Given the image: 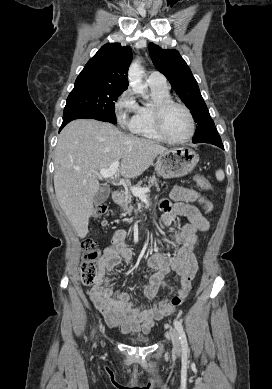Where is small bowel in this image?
Wrapping results in <instances>:
<instances>
[{
  "label": "small bowel",
  "mask_w": 272,
  "mask_h": 389,
  "mask_svg": "<svg viewBox=\"0 0 272 389\" xmlns=\"http://www.w3.org/2000/svg\"><path fill=\"white\" fill-rule=\"evenodd\" d=\"M161 209V230L164 231L178 217L187 218L188 223L172 235H163L165 241L179 245L175 256L168 257L156 252L149 257L148 264L155 272L143 286L142 294L146 301L136 304L128 293L114 294L110 287L109 273L133 256L123 231L117 232L112 245L105 249L95 284L88 291L106 324L120 327L123 334H148L157 321L174 310L168 299H158L160 289L166 287L175 295L186 297L191 290V281L199 270L195 255L197 233L209 229L206 216L212 213L211 202L193 189L175 186L170 199L161 202ZM170 272L178 278L177 288L166 283L165 278Z\"/></svg>",
  "instance_id": "obj_1"
}]
</instances>
